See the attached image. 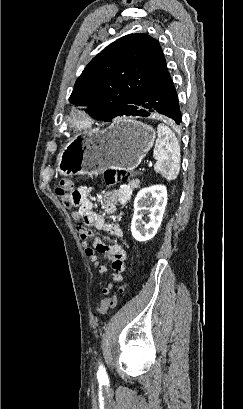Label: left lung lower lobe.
Instances as JSON below:
<instances>
[{
	"label": "left lung lower lobe",
	"instance_id": "left-lung-lower-lobe-1",
	"mask_svg": "<svg viewBox=\"0 0 243 409\" xmlns=\"http://www.w3.org/2000/svg\"><path fill=\"white\" fill-rule=\"evenodd\" d=\"M155 112L171 118L176 124L181 122L178 96L169 73L144 92L133 105L126 106L117 114L106 115L101 120L109 122L121 115L148 117Z\"/></svg>",
	"mask_w": 243,
	"mask_h": 409
}]
</instances>
